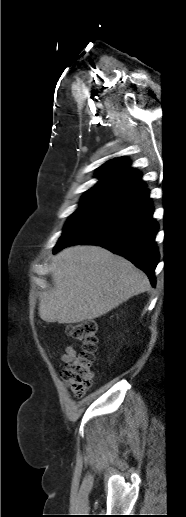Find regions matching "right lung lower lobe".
<instances>
[{
    "label": "right lung lower lobe",
    "instance_id": "98d812e1",
    "mask_svg": "<svg viewBox=\"0 0 186 517\" xmlns=\"http://www.w3.org/2000/svg\"><path fill=\"white\" fill-rule=\"evenodd\" d=\"M153 212L149 191L144 188L115 203L58 243L53 253L74 244L102 246L130 260L148 275L152 286H155L154 270L159 252L155 244L158 225L152 217Z\"/></svg>",
    "mask_w": 186,
    "mask_h": 517
}]
</instances>
